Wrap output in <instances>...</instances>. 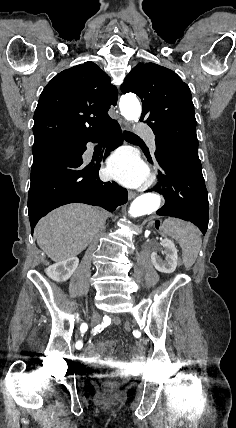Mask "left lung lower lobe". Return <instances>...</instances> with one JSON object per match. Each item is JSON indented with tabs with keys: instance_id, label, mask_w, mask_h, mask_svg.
I'll use <instances>...</instances> for the list:
<instances>
[{
	"instance_id": "left-lung-lower-lobe-1",
	"label": "left lung lower lobe",
	"mask_w": 236,
	"mask_h": 428,
	"mask_svg": "<svg viewBox=\"0 0 236 428\" xmlns=\"http://www.w3.org/2000/svg\"><path fill=\"white\" fill-rule=\"evenodd\" d=\"M156 160L161 168L158 170L159 183L148 191H156L166 200L157 215L190 221L205 234L209 202L199 158L169 148Z\"/></svg>"
}]
</instances>
